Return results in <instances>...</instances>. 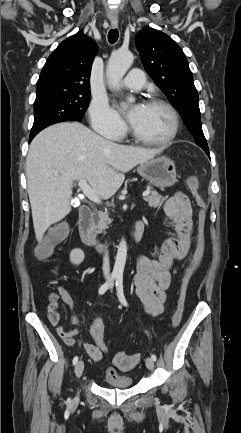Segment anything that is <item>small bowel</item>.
<instances>
[{
	"label": "small bowel",
	"instance_id": "1",
	"mask_svg": "<svg viewBox=\"0 0 241 433\" xmlns=\"http://www.w3.org/2000/svg\"><path fill=\"white\" fill-rule=\"evenodd\" d=\"M164 213L175 223L176 236L167 239L155 258L139 257L136 261L137 272L134 285L145 311L157 316L164 310L167 291L171 286L170 271L175 262L184 260L189 254L192 243V207L189 198L182 192L169 197L163 205ZM61 300L71 313V329L60 325L58 312ZM48 319L56 328L58 335L68 345L74 344L78 332L79 320L74 312V303L70 293L59 286L51 296L47 308ZM94 344L84 343L83 348L94 361H100L103 354L100 345L104 343V328L101 317H95L90 324ZM115 372L108 369L107 373Z\"/></svg>",
	"mask_w": 241,
	"mask_h": 433
}]
</instances>
